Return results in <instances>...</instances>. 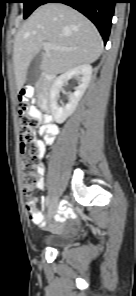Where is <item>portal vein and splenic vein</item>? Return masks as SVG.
<instances>
[{
	"instance_id": "obj_1",
	"label": "portal vein and splenic vein",
	"mask_w": 136,
	"mask_h": 296,
	"mask_svg": "<svg viewBox=\"0 0 136 296\" xmlns=\"http://www.w3.org/2000/svg\"><path fill=\"white\" fill-rule=\"evenodd\" d=\"M43 47H44L45 50H51V49H53V50H66V49H64V48H60V47L53 46V45H52L51 43H49V42H44V43H43Z\"/></svg>"
}]
</instances>
